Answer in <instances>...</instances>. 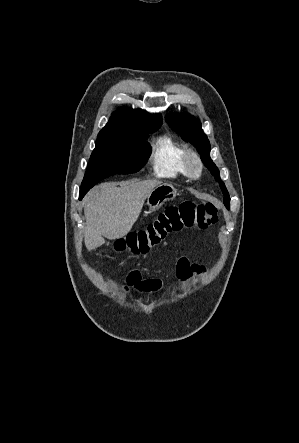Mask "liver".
<instances>
[{
  "instance_id": "6515ba94",
  "label": "liver",
  "mask_w": 299,
  "mask_h": 443,
  "mask_svg": "<svg viewBox=\"0 0 299 443\" xmlns=\"http://www.w3.org/2000/svg\"><path fill=\"white\" fill-rule=\"evenodd\" d=\"M161 182L145 180L102 183L84 198L86 219L84 242L88 250L126 236L137 221L150 192Z\"/></svg>"
}]
</instances>
